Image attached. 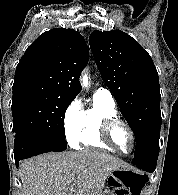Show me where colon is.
Masks as SVG:
<instances>
[{"instance_id":"obj_1","label":"colon","mask_w":178,"mask_h":195,"mask_svg":"<svg viewBox=\"0 0 178 195\" xmlns=\"http://www.w3.org/2000/svg\"><path fill=\"white\" fill-rule=\"evenodd\" d=\"M147 178L145 175H138L133 179V183L130 186L131 195H139L141 189L144 187Z\"/></svg>"}]
</instances>
